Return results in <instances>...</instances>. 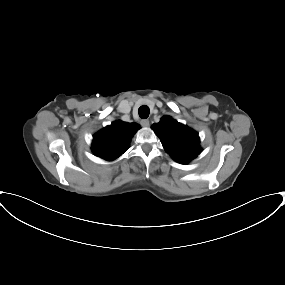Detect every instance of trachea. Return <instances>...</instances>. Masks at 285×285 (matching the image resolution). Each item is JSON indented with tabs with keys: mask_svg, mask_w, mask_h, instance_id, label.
<instances>
[{
	"mask_svg": "<svg viewBox=\"0 0 285 285\" xmlns=\"http://www.w3.org/2000/svg\"><path fill=\"white\" fill-rule=\"evenodd\" d=\"M149 113H150L149 107L146 105H143L138 109V114L142 119H146L149 116Z\"/></svg>",
	"mask_w": 285,
	"mask_h": 285,
	"instance_id": "1",
	"label": "trachea"
}]
</instances>
